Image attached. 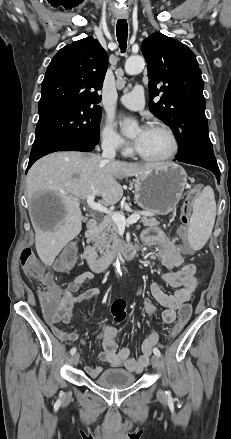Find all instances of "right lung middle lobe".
I'll use <instances>...</instances> for the list:
<instances>
[{"mask_svg":"<svg viewBox=\"0 0 231 439\" xmlns=\"http://www.w3.org/2000/svg\"><path fill=\"white\" fill-rule=\"evenodd\" d=\"M101 108L77 107L55 111L39 118L33 146L58 141L98 144Z\"/></svg>","mask_w":231,"mask_h":439,"instance_id":"dd1d6c3e","label":"right lung middle lobe"}]
</instances>
